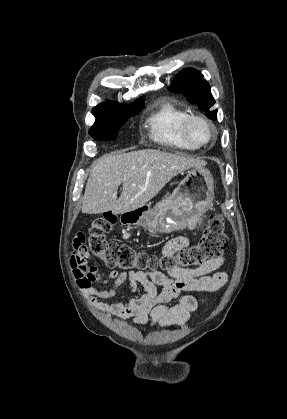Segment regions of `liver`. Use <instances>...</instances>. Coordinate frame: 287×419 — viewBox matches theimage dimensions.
Instances as JSON below:
<instances>
[{
    "instance_id": "liver-1",
    "label": "liver",
    "mask_w": 287,
    "mask_h": 419,
    "mask_svg": "<svg viewBox=\"0 0 287 419\" xmlns=\"http://www.w3.org/2000/svg\"><path fill=\"white\" fill-rule=\"evenodd\" d=\"M204 160L185 154L142 149L123 154H107L97 159L85 187L82 213L113 214L144 206L179 173L202 168ZM123 185L117 198V190Z\"/></svg>"
}]
</instances>
